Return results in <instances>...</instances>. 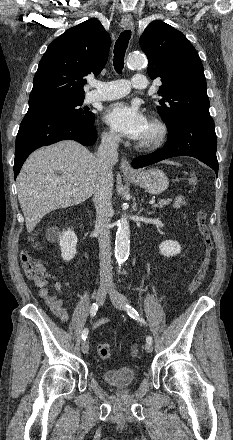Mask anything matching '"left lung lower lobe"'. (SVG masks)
Masks as SVG:
<instances>
[{
  "mask_svg": "<svg viewBox=\"0 0 233 440\" xmlns=\"http://www.w3.org/2000/svg\"><path fill=\"white\" fill-rule=\"evenodd\" d=\"M217 137L210 115L191 114L184 117L176 130L168 133L165 146L149 155L135 158L134 168H141L175 156H192L218 173Z\"/></svg>",
  "mask_w": 233,
  "mask_h": 440,
  "instance_id": "left-lung-lower-lobe-1",
  "label": "left lung lower lobe"
}]
</instances>
